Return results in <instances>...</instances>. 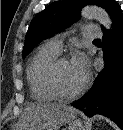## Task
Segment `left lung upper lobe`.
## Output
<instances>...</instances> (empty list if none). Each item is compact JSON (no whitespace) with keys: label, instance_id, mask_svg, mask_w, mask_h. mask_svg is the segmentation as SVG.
<instances>
[{"label":"left lung upper lobe","instance_id":"obj_1","mask_svg":"<svg viewBox=\"0 0 123 130\" xmlns=\"http://www.w3.org/2000/svg\"><path fill=\"white\" fill-rule=\"evenodd\" d=\"M86 5L104 8L112 20L120 8L115 0H62L50 4L31 21L25 38L23 57L43 39L69 27L79 18L81 9Z\"/></svg>","mask_w":123,"mask_h":130}]
</instances>
